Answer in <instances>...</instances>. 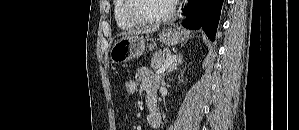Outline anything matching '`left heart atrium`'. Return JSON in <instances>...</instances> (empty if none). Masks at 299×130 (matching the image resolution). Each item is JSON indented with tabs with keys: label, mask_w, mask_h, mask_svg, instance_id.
I'll use <instances>...</instances> for the list:
<instances>
[{
	"label": "left heart atrium",
	"mask_w": 299,
	"mask_h": 130,
	"mask_svg": "<svg viewBox=\"0 0 299 130\" xmlns=\"http://www.w3.org/2000/svg\"><path fill=\"white\" fill-rule=\"evenodd\" d=\"M170 2H171V3H175L176 1H175V0H171Z\"/></svg>",
	"instance_id": "left-heart-atrium-1"
}]
</instances>
